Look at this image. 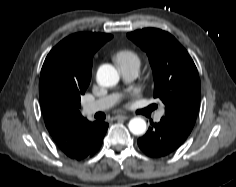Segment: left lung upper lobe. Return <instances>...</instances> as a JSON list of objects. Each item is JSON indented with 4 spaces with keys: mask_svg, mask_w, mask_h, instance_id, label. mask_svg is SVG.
<instances>
[{
    "mask_svg": "<svg viewBox=\"0 0 236 187\" xmlns=\"http://www.w3.org/2000/svg\"><path fill=\"white\" fill-rule=\"evenodd\" d=\"M127 36L149 57L154 97L165 106L162 118L190 133L201 98L200 79L192 58L171 34L160 29L145 28Z\"/></svg>",
    "mask_w": 236,
    "mask_h": 187,
    "instance_id": "left-lung-upper-lobe-1",
    "label": "left lung upper lobe"
}]
</instances>
